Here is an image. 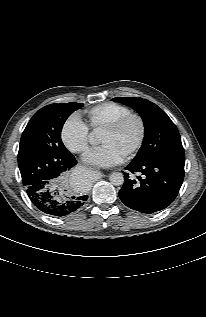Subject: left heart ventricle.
<instances>
[{"mask_svg": "<svg viewBox=\"0 0 206 317\" xmlns=\"http://www.w3.org/2000/svg\"><path fill=\"white\" fill-rule=\"evenodd\" d=\"M139 132L137 121H129L123 128L116 132H104L100 135V142L110 144L125 154L135 143Z\"/></svg>", "mask_w": 206, "mask_h": 317, "instance_id": "b2bd125f", "label": "left heart ventricle"}]
</instances>
